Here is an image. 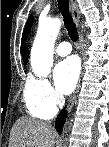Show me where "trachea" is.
Returning a JSON list of instances; mask_svg holds the SVG:
<instances>
[{"label":"trachea","mask_w":109,"mask_h":147,"mask_svg":"<svg viewBox=\"0 0 109 147\" xmlns=\"http://www.w3.org/2000/svg\"><path fill=\"white\" fill-rule=\"evenodd\" d=\"M59 11L63 16L65 28L72 41L78 40V32L75 23L69 13V0H58Z\"/></svg>","instance_id":"trachea-1"}]
</instances>
